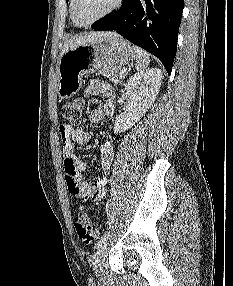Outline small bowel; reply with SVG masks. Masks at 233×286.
Listing matches in <instances>:
<instances>
[{"label":"small bowel","instance_id":"small-bowel-1","mask_svg":"<svg viewBox=\"0 0 233 286\" xmlns=\"http://www.w3.org/2000/svg\"><path fill=\"white\" fill-rule=\"evenodd\" d=\"M86 97L97 96L104 99L101 108H95L90 113L92 122H100L105 117L111 116L115 111V91L105 82L93 80L85 90ZM59 132L62 140L64 154L65 179L69 192L81 200L98 201L104 197L108 175L113 161L114 151L112 143L106 140L99 151L101 176L93 183L84 181L81 172L86 169L87 163L75 152V144H87L92 139L90 131L74 128L70 125H61Z\"/></svg>","mask_w":233,"mask_h":286}]
</instances>
